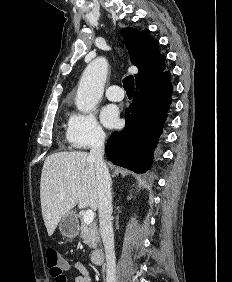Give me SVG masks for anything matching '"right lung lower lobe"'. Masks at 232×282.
Returning <instances> with one entry per match:
<instances>
[{
	"label": "right lung lower lobe",
	"instance_id": "1",
	"mask_svg": "<svg viewBox=\"0 0 232 282\" xmlns=\"http://www.w3.org/2000/svg\"><path fill=\"white\" fill-rule=\"evenodd\" d=\"M172 90L167 70L136 81L133 101L125 111V128L113 132L107 141L106 156L110 161L137 173L149 169L170 108Z\"/></svg>",
	"mask_w": 232,
	"mask_h": 282
}]
</instances>
